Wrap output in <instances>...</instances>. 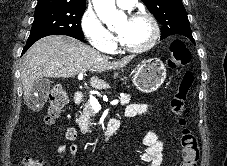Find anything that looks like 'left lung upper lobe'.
Masks as SVG:
<instances>
[{"label": "left lung upper lobe", "mask_w": 227, "mask_h": 166, "mask_svg": "<svg viewBox=\"0 0 227 166\" xmlns=\"http://www.w3.org/2000/svg\"><path fill=\"white\" fill-rule=\"evenodd\" d=\"M155 18L163 25L161 39L184 35L192 39L189 20L182 0H142Z\"/></svg>", "instance_id": "1"}]
</instances>
